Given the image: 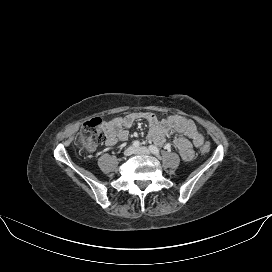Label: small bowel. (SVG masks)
Masks as SVG:
<instances>
[{"label":"small bowel","instance_id":"small-bowel-1","mask_svg":"<svg viewBox=\"0 0 272 272\" xmlns=\"http://www.w3.org/2000/svg\"><path fill=\"white\" fill-rule=\"evenodd\" d=\"M140 120L148 123V139L158 145H163L171 133H176L172 144L185 161L192 160L194 147H200L204 143L203 135L190 119L182 116H170L164 120H158L154 114L149 112H132L126 116L115 117L103 122L102 127L106 135V144L113 146L120 141H126L128 129ZM170 147L171 145H168V148ZM88 149L91 151L93 147Z\"/></svg>","mask_w":272,"mask_h":272}]
</instances>
